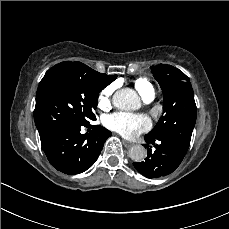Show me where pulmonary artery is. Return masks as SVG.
Masks as SVG:
<instances>
[{
	"instance_id": "obj_1",
	"label": "pulmonary artery",
	"mask_w": 229,
	"mask_h": 229,
	"mask_svg": "<svg viewBox=\"0 0 229 229\" xmlns=\"http://www.w3.org/2000/svg\"><path fill=\"white\" fill-rule=\"evenodd\" d=\"M153 99H154V96L150 95V96L144 98V101H145V103H150Z\"/></svg>"
}]
</instances>
